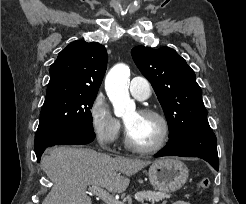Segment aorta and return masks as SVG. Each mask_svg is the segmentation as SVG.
Listing matches in <instances>:
<instances>
[{
	"instance_id": "1",
	"label": "aorta",
	"mask_w": 246,
	"mask_h": 204,
	"mask_svg": "<svg viewBox=\"0 0 246 204\" xmlns=\"http://www.w3.org/2000/svg\"><path fill=\"white\" fill-rule=\"evenodd\" d=\"M129 75V67L121 63L115 65L105 79V89L117 117L125 118L135 114L136 105L131 100L128 91Z\"/></svg>"
}]
</instances>
